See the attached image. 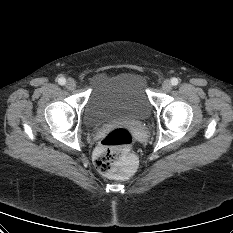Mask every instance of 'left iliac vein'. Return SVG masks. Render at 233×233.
<instances>
[{
  "label": "left iliac vein",
  "instance_id": "4c4485c4",
  "mask_svg": "<svg viewBox=\"0 0 233 233\" xmlns=\"http://www.w3.org/2000/svg\"><path fill=\"white\" fill-rule=\"evenodd\" d=\"M162 89L164 91H170L172 89V85H171V82L169 80H165L163 83H162Z\"/></svg>",
  "mask_w": 233,
  "mask_h": 233
}]
</instances>
